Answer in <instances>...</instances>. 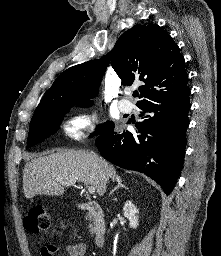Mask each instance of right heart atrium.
<instances>
[{
	"instance_id": "d8ad5b80",
	"label": "right heart atrium",
	"mask_w": 221,
	"mask_h": 256,
	"mask_svg": "<svg viewBox=\"0 0 221 256\" xmlns=\"http://www.w3.org/2000/svg\"><path fill=\"white\" fill-rule=\"evenodd\" d=\"M98 114L93 108L78 110L68 116L62 124V133L70 140H80L94 132Z\"/></svg>"
}]
</instances>
